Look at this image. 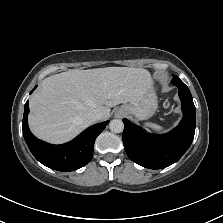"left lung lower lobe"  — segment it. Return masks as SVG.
Masks as SVG:
<instances>
[{
    "instance_id": "0a47b994",
    "label": "left lung lower lobe",
    "mask_w": 223,
    "mask_h": 223,
    "mask_svg": "<svg viewBox=\"0 0 223 223\" xmlns=\"http://www.w3.org/2000/svg\"><path fill=\"white\" fill-rule=\"evenodd\" d=\"M179 89L183 118L172 131L149 134L141 127L123 119V144L128 157L150 169H163L177 162L190 147L195 133L196 109L188 87L181 81L172 83Z\"/></svg>"
}]
</instances>
